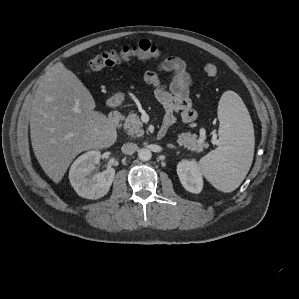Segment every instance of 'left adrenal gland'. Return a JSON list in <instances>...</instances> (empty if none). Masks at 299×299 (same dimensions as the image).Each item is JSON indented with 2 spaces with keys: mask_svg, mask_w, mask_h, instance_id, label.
<instances>
[{
  "mask_svg": "<svg viewBox=\"0 0 299 299\" xmlns=\"http://www.w3.org/2000/svg\"><path fill=\"white\" fill-rule=\"evenodd\" d=\"M167 147L171 149L175 148L173 145H168Z\"/></svg>",
  "mask_w": 299,
  "mask_h": 299,
  "instance_id": "1",
  "label": "left adrenal gland"
}]
</instances>
